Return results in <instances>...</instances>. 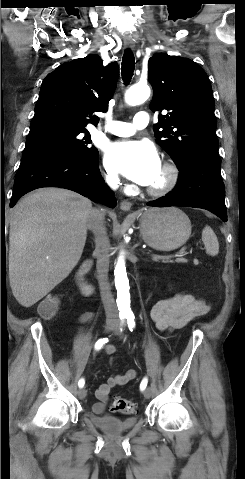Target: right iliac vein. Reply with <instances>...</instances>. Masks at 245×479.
I'll return each mask as SVG.
<instances>
[{
	"instance_id": "right-iliac-vein-1",
	"label": "right iliac vein",
	"mask_w": 245,
	"mask_h": 479,
	"mask_svg": "<svg viewBox=\"0 0 245 479\" xmlns=\"http://www.w3.org/2000/svg\"><path fill=\"white\" fill-rule=\"evenodd\" d=\"M116 328L117 324L115 322H107L105 325V332H111ZM77 394L80 399H84L86 397V390L84 388H80Z\"/></svg>"
}]
</instances>
